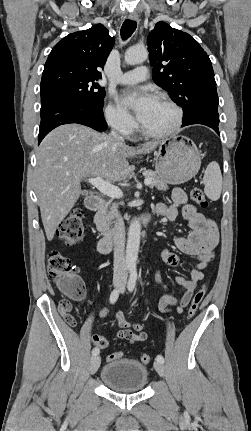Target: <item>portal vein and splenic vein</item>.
<instances>
[{
    "instance_id": "18ae733b",
    "label": "portal vein and splenic vein",
    "mask_w": 251,
    "mask_h": 431,
    "mask_svg": "<svg viewBox=\"0 0 251 431\" xmlns=\"http://www.w3.org/2000/svg\"><path fill=\"white\" fill-rule=\"evenodd\" d=\"M88 182L106 196L116 199L123 197V192L119 187L104 181L101 177L89 178ZM151 182V178H145L144 180L145 185H150Z\"/></svg>"
}]
</instances>
